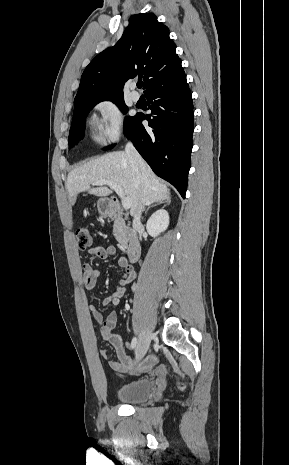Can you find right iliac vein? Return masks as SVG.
Here are the masks:
<instances>
[{
  "label": "right iliac vein",
  "mask_w": 289,
  "mask_h": 465,
  "mask_svg": "<svg viewBox=\"0 0 289 465\" xmlns=\"http://www.w3.org/2000/svg\"><path fill=\"white\" fill-rule=\"evenodd\" d=\"M152 338V333L149 330H144L139 338L136 347V360H140L147 352Z\"/></svg>",
  "instance_id": "1"
}]
</instances>
